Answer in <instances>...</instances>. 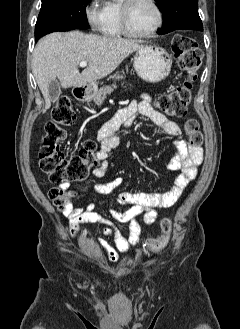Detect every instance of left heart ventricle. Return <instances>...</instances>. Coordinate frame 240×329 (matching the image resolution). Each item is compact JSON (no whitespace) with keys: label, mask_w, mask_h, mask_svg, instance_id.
Instances as JSON below:
<instances>
[{"label":"left heart ventricle","mask_w":240,"mask_h":329,"mask_svg":"<svg viewBox=\"0 0 240 329\" xmlns=\"http://www.w3.org/2000/svg\"><path fill=\"white\" fill-rule=\"evenodd\" d=\"M157 22V13L148 0H138L130 16V27L133 31L145 33L151 30Z\"/></svg>","instance_id":"left-heart-ventricle-1"}]
</instances>
